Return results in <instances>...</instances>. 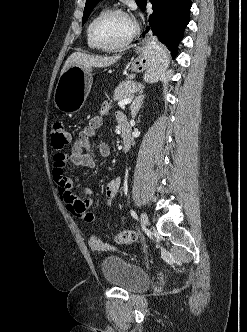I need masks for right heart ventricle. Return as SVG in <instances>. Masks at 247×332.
I'll return each instance as SVG.
<instances>
[{"label":"right heart ventricle","mask_w":247,"mask_h":332,"mask_svg":"<svg viewBox=\"0 0 247 332\" xmlns=\"http://www.w3.org/2000/svg\"><path fill=\"white\" fill-rule=\"evenodd\" d=\"M103 10L98 11L89 21L87 28H86V40H87V45L89 48L94 49V50H99L100 48L93 42L90 36V25L92 21L101 13Z\"/></svg>","instance_id":"e07e8e85"}]
</instances>
